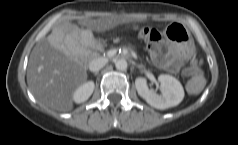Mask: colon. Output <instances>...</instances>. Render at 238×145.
<instances>
[{
  "mask_svg": "<svg viewBox=\"0 0 238 145\" xmlns=\"http://www.w3.org/2000/svg\"><path fill=\"white\" fill-rule=\"evenodd\" d=\"M139 31L147 42L151 56L157 64L172 70L179 68L180 65L177 62L168 58V42L162 33L152 28H141ZM186 71L192 75L188 83L189 91L192 93L201 91L204 86V78L199 62L196 60L189 62L186 66Z\"/></svg>",
  "mask_w": 238,
  "mask_h": 145,
  "instance_id": "1",
  "label": "colon"
}]
</instances>
